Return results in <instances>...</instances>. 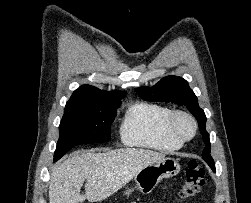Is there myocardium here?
Listing matches in <instances>:
<instances>
[{
    "instance_id": "f54148a6",
    "label": "myocardium",
    "mask_w": 251,
    "mask_h": 203,
    "mask_svg": "<svg viewBox=\"0 0 251 203\" xmlns=\"http://www.w3.org/2000/svg\"><path fill=\"white\" fill-rule=\"evenodd\" d=\"M180 118H185L190 122L192 126V132L189 135H183L179 131L178 121ZM197 128L198 126L195 118L190 113L184 110L173 111L168 121V131L172 136H174L175 138L179 139L182 142H187L192 140L197 133Z\"/></svg>"
}]
</instances>
